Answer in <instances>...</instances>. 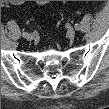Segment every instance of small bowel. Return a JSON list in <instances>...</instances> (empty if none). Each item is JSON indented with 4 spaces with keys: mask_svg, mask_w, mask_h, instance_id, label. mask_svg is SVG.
<instances>
[{
    "mask_svg": "<svg viewBox=\"0 0 109 109\" xmlns=\"http://www.w3.org/2000/svg\"><path fill=\"white\" fill-rule=\"evenodd\" d=\"M39 4H40V5L44 4V1H39Z\"/></svg>",
    "mask_w": 109,
    "mask_h": 109,
    "instance_id": "small-bowel-1",
    "label": "small bowel"
}]
</instances>
